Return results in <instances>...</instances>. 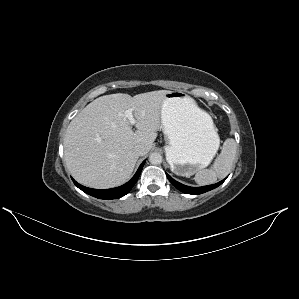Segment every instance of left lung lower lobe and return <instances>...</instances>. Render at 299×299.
Returning a JSON list of instances; mask_svg holds the SVG:
<instances>
[{
  "label": "left lung lower lobe",
  "mask_w": 299,
  "mask_h": 299,
  "mask_svg": "<svg viewBox=\"0 0 299 299\" xmlns=\"http://www.w3.org/2000/svg\"><path fill=\"white\" fill-rule=\"evenodd\" d=\"M169 181L177 188L179 189L180 191H182L183 193H186V194H202V193H205L207 191H210L216 187H218L219 185H221L224 181H220L216 184H213V185H208V186H203V187H190V186H186V185H183L177 181H175L171 176H169L167 173H166Z\"/></svg>",
  "instance_id": "obj_1"
}]
</instances>
